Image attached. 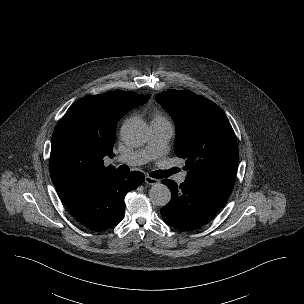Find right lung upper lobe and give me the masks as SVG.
Returning a JSON list of instances; mask_svg holds the SVG:
<instances>
[{"mask_svg": "<svg viewBox=\"0 0 304 304\" xmlns=\"http://www.w3.org/2000/svg\"><path fill=\"white\" fill-rule=\"evenodd\" d=\"M150 95L108 92L76 101L58 122L53 135L49 169L61 201L71 208L103 175L116 170L104 166L114 156L116 124L127 111L146 103Z\"/></svg>", "mask_w": 304, "mask_h": 304, "instance_id": "obj_1", "label": "right lung upper lobe"}]
</instances>
